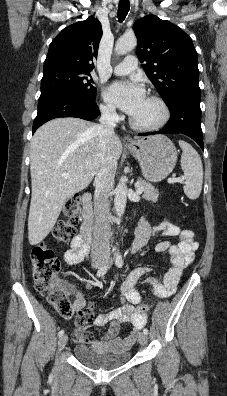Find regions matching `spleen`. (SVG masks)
Returning <instances> with one entry per match:
<instances>
[{"instance_id": "obj_1", "label": "spleen", "mask_w": 227, "mask_h": 396, "mask_svg": "<svg viewBox=\"0 0 227 396\" xmlns=\"http://www.w3.org/2000/svg\"><path fill=\"white\" fill-rule=\"evenodd\" d=\"M179 146L183 153L181 156V169L184 171V192L190 199L199 197L203 184V166L197 151L187 142L180 140Z\"/></svg>"}]
</instances>
